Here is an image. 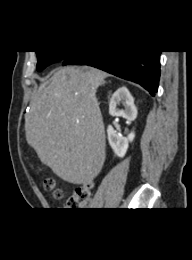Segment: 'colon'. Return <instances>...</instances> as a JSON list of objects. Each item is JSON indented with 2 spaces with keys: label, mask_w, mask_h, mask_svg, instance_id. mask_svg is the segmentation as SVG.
<instances>
[{
  "label": "colon",
  "mask_w": 192,
  "mask_h": 260,
  "mask_svg": "<svg viewBox=\"0 0 192 260\" xmlns=\"http://www.w3.org/2000/svg\"><path fill=\"white\" fill-rule=\"evenodd\" d=\"M43 187L45 190L52 192L53 196L57 199L63 196L62 190L57 187V182L52 177L44 178ZM90 198L91 185L85 184L74 191L72 196L67 200L65 208L67 210L85 208L89 204Z\"/></svg>",
  "instance_id": "colon-1"
}]
</instances>
